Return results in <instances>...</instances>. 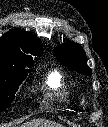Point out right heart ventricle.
<instances>
[{"label":"right heart ventricle","instance_id":"obj_1","mask_svg":"<svg viewBox=\"0 0 108 127\" xmlns=\"http://www.w3.org/2000/svg\"><path fill=\"white\" fill-rule=\"evenodd\" d=\"M72 90L69 87L64 75L58 70H52L45 80L46 98H54L67 101L72 97Z\"/></svg>","mask_w":108,"mask_h":127}]
</instances>
